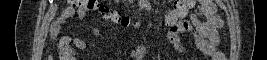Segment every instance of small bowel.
I'll return each mask as SVG.
<instances>
[{
  "label": "small bowel",
  "instance_id": "small-bowel-1",
  "mask_svg": "<svg viewBox=\"0 0 267 60\" xmlns=\"http://www.w3.org/2000/svg\"><path fill=\"white\" fill-rule=\"evenodd\" d=\"M189 7L185 13L180 16L178 21L160 37L167 39L170 44L179 53L186 55L188 59L195 60V56L191 55L185 45L182 42L181 34L187 33L191 36L196 48L203 55L212 60H224V54L218 50L220 36L219 29L223 26V20L216 13V6L212 0H189ZM188 18L189 11L194 9ZM78 15L80 19L85 17V13L77 9L76 4H69L63 11L61 19L58 20L53 26V32L57 34L61 28L62 23L74 15ZM204 17L205 20H201L200 17ZM93 35H98L96 28L91 29ZM159 36L155 35L150 40H146L136 50L132 52L135 59H140L143 53L153 52L155 49V41ZM73 47L71 46V38L69 36H63L58 42L59 51L64 56H69L74 52V49L84 50L87 47V41L81 36H76L72 40Z\"/></svg>",
  "mask_w": 267,
  "mask_h": 60
}]
</instances>
